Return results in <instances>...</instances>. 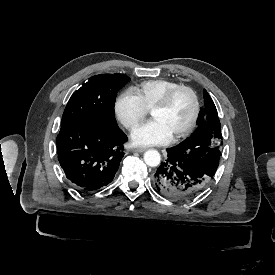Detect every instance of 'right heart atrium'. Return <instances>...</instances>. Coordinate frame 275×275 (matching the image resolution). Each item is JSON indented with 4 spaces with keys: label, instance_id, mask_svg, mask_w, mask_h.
I'll return each mask as SVG.
<instances>
[{
    "label": "right heart atrium",
    "instance_id": "1",
    "mask_svg": "<svg viewBox=\"0 0 275 275\" xmlns=\"http://www.w3.org/2000/svg\"><path fill=\"white\" fill-rule=\"evenodd\" d=\"M115 112L123 126L132 130L144 120L148 114V109L134 91L127 90L117 98Z\"/></svg>",
    "mask_w": 275,
    "mask_h": 275
}]
</instances>
